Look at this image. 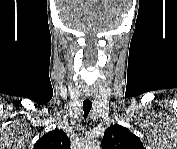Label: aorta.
Returning <instances> with one entry per match:
<instances>
[{"label":"aorta","mask_w":177,"mask_h":149,"mask_svg":"<svg viewBox=\"0 0 177 149\" xmlns=\"http://www.w3.org/2000/svg\"><path fill=\"white\" fill-rule=\"evenodd\" d=\"M86 149H99V145L96 143H92V144L86 145Z\"/></svg>","instance_id":"762f6f07"}]
</instances>
